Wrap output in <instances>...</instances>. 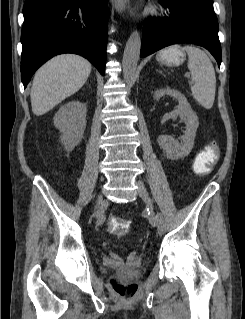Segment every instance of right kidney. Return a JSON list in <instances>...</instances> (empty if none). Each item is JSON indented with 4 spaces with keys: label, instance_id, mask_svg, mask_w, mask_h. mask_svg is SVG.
<instances>
[{
    "label": "right kidney",
    "instance_id": "ca27d5eb",
    "mask_svg": "<svg viewBox=\"0 0 245 319\" xmlns=\"http://www.w3.org/2000/svg\"><path fill=\"white\" fill-rule=\"evenodd\" d=\"M86 104L73 100L63 105L54 116V125L61 133L65 150L72 151L83 138L86 127Z\"/></svg>",
    "mask_w": 245,
    "mask_h": 319
}]
</instances>
